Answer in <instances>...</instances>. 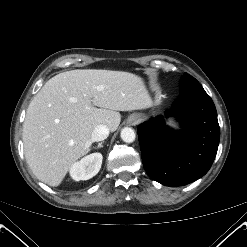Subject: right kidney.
Wrapping results in <instances>:
<instances>
[{"label": "right kidney", "mask_w": 247, "mask_h": 247, "mask_svg": "<svg viewBox=\"0 0 247 247\" xmlns=\"http://www.w3.org/2000/svg\"><path fill=\"white\" fill-rule=\"evenodd\" d=\"M103 156L101 153H92L75 162L70 168V176L75 181L88 180L100 170Z\"/></svg>", "instance_id": "1"}]
</instances>
